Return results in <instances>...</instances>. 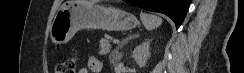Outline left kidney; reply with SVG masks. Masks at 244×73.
I'll return each instance as SVG.
<instances>
[{
	"mask_svg": "<svg viewBox=\"0 0 244 73\" xmlns=\"http://www.w3.org/2000/svg\"><path fill=\"white\" fill-rule=\"evenodd\" d=\"M150 42L151 40L143 42L133 51L132 58L136 61L139 67H144L150 57Z\"/></svg>",
	"mask_w": 244,
	"mask_h": 73,
	"instance_id": "1",
	"label": "left kidney"
}]
</instances>
